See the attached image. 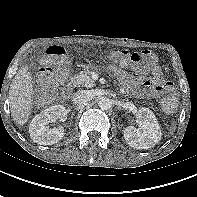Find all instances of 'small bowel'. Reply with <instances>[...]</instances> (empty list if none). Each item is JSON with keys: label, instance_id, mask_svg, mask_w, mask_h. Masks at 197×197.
I'll return each instance as SVG.
<instances>
[{"label": "small bowel", "instance_id": "1", "mask_svg": "<svg viewBox=\"0 0 197 197\" xmlns=\"http://www.w3.org/2000/svg\"><path fill=\"white\" fill-rule=\"evenodd\" d=\"M122 63H126L122 61ZM122 85L133 95L139 98H157L163 93L172 90L170 83L165 82L159 66L151 69V76L144 77L138 72H126L122 69H114ZM145 72V71H144Z\"/></svg>", "mask_w": 197, "mask_h": 197}]
</instances>
